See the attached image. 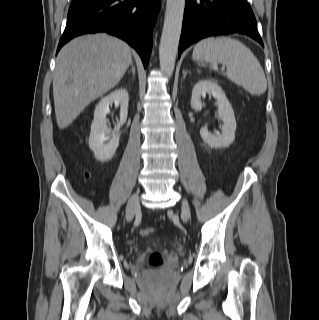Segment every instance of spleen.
Instances as JSON below:
<instances>
[{
    "label": "spleen",
    "mask_w": 319,
    "mask_h": 320,
    "mask_svg": "<svg viewBox=\"0 0 319 320\" xmlns=\"http://www.w3.org/2000/svg\"><path fill=\"white\" fill-rule=\"evenodd\" d=\"M193 59L226 66L223 75L251 95H262L267 89V80L258 59L236 39L223 36L202 39L194 47Z\"/></svg>",
    "instance_id": "obj_1"
}]
</instances>
